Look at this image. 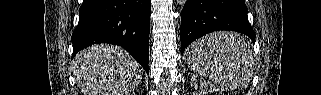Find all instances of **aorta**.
I'll list each match as a JSON object with an SVG mask.
<instances>
[{"label": "aorta", "instance_id": "obj_1", "mask_svg": "<svg viewBox=\"0 0 321 95\" xmlns=\"http://www.w3.org/2000/svg\"><path fill=\"white\" fill-rule=\"evenodd\" d=\"M177 3H178L180 6H184V4L186 3V0H177Z\"/></svg>", "mask_w": 321, "mask_h": 95}]
</instances>
